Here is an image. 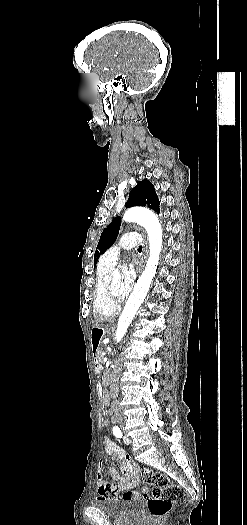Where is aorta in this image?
Segmentation results:
<instances>
[{
    "label": "aorta",
    "mask_w": 247,
    "mask_h": 525,
    "mask_svg": "<svg viewBox=\"0 0 247 525\" xmlns=\"http://www.w3.org/2000/svg\"><path fill=\"white\" fill-rule=\"evenodd\" d=\"M123 220L126 222H136L146 229L149 238L150 252L146 267L137 280L133 292L129 296L119 317L115 336L117 342H120L124 337L137 310L149 291L151 282L157 270L163 240L160 222L157 216L150 210L139 207L128 209L123 216Z\"/></svg>",
    "instance_id": "762f6f07"
}]
</instances>
